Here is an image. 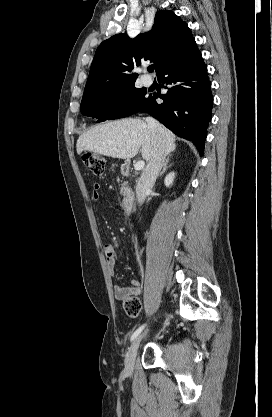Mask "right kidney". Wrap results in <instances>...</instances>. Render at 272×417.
I'll return each mask as SVG.
<instances>
[{
	"label": "right kidney",
	"instance_id": "right-kidney-1",
	"mask_svg": "<svg viewBox=\"0 0 272 417\" xmlns=\"http://www.w3.org/2000/svg\"><path fill=\"white\" fill-rule=\"evenodd\" d=\"M175 178V173L174 172H170L164 180V184L166 187H170L173 184Z\"/></svg>",
	"mask_w": 272,
	"mask_h": 417
}]
</instances>
